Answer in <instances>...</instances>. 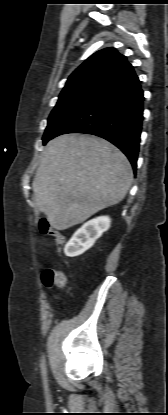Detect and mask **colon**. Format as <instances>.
<instances>
[{
  "mask_svg": "<svg viewBox=\"0 0 168 415\" xmlns=\"http://www.w3.org/2000/svg\"><path fill=\"white\" fill-rule=\"evenodd\" d=\"M39 229L42 234L52 237L55 244L59 248L63 246L65 242L63 233L59 230L51 228L47 221L41 220L39 223ZM42 280L48 287H57L59 289H64L67 285L66 273L63 269L58 267L46 269L43 272Z\"/></svg>",
  "mask_w": 168,
  "mask_h": 415,
  "instance_id": "1",
  "label": "colon"
}]
</instances>
